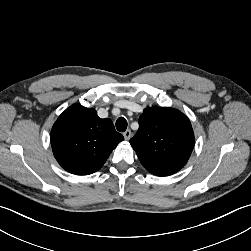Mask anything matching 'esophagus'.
Returning a JSON list of instances; mask_svg holds the SVG:
<instances>
[{"label": "esophagus", "mask_w": 251, "mask_h": 251, "mask_svg": "<svg viewBox=\"0 0 251 251\" xmlns=\"http://www.w3.org/2000/svg\"><path fill=\"white\" fill-rule=\"evenodd\" d=\"M123 135H124L125 140H129L132 136V132L131 130L128 129L123 133Z\"/></svg>", "instance_id": "esophagus-1"}]
</instances>
